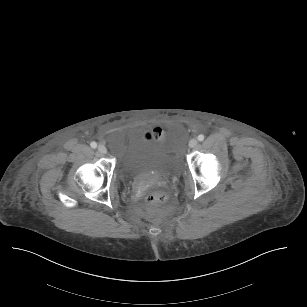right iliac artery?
<instances>
[{
	"label": "right iliac artery",
	"instance_id": "82829eb1",
	"mask_svg": "<svg viewBox=\"0 0 307 307\" xmlns=\"http://www.w3.org/2000/svg\"><path fill=\"white\" fill-rule=\"evenodd\" d=\"M90 146H91L92 148H96V147H97V143L93 141V142H91Z\"/></svg>",
	"mask_w": 307,
	"mask_h": 307
}]
</instances>
